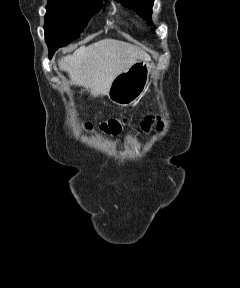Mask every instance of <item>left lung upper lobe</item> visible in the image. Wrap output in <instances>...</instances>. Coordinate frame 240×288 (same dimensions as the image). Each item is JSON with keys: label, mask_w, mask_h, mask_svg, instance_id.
Wrapping results in <instances>:
<instances>
[{"label": "left lung upper lobe", "mask_w": 240, "mask_h": 288, "mask_svg": "<svg viewBox=\"0 0 240 288\" xmlns=\"http://www.w3.org/2000/svg\"><path fill=\"white\" fill-rule=\"evenodd\" d=\"M120 1L126 6L135 8L138 14L145 20L148 21V24L152 25L151 22V14H152V6L153 0H116Z\"/></svg>", "instance_id": "5c2ea615"}]
</instances>
